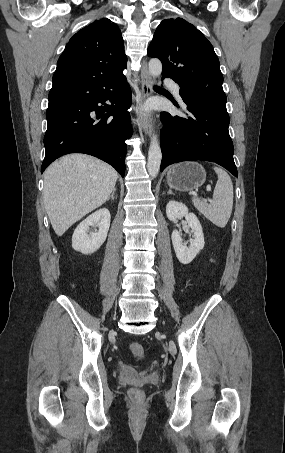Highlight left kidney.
<instances>
[{"label":"left kidney","mask_w":285,"mask_h":453,"mask_svg":"<svg viewBox=\"0 0 285 453\" xmlns=\"http://www.w3.org/2000/svg\"><path fill=\"white\" fill-rule=\"evenodd\" d=\"M166 215L171 221H177L185 217L188 226L191 228L194 238L190 241L189 246L183 244L180 233L177 230H174L171 235L172 244L178 260L182 264H189L204 247L205 242L202 226L197 216L194 213H189L185 204L177 201L168 202Z\"/></svg>","instance_id":"left-kidney-1"}]
</instances>
